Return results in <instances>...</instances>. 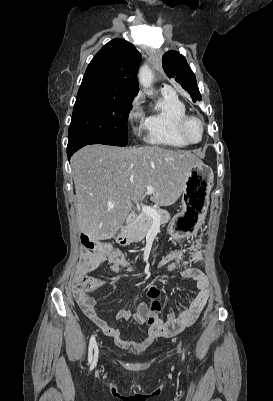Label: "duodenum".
Instances as JSON below:
<instances>
[{"instance_id":"obj_1","label":"duodenum","mask_w":273,"mask_h":401,"mask_svg":"<svg viewBox=\"0 0 273 401\" xmlns=\"http://www.w3.org/2000/svg\"><path fill=\"white\" fill-rule=\"evenodd\" d=\"M135 218H136V214L133 213V212L130 213V214L127 216L126 224L128 225V224L132 223V222L135 220ZM119 241H120V243H125V242H126V240H125V238H124L123 235H120Z\"/></svg>"}]
</instances>
